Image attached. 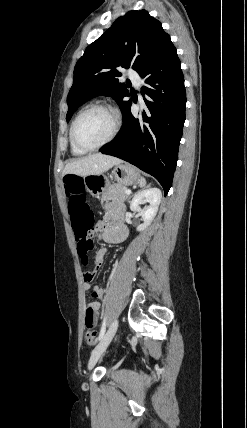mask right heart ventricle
Masks as SVG:
<instances>
[{
  "mask_svg": "<svg viewBox=\"0 0 247 428\" xmlns=\"http://www.w3.org/2000/svg\"><path fill=\"white\" fill-rule=\"evenodd\" d=\"M70 147H71V151H72V153L74 154V155H83V154H85L86 153V151H84V150H81V149H79V148H77L73 143H72V141H71V138H70Z\"/></svg>",
  "mask_w": 247,
  "mask_h": 428,
  "instance_id": "right-heart-ventricle-1",
  "label": "right heart ventricle"
}]
</instances>
